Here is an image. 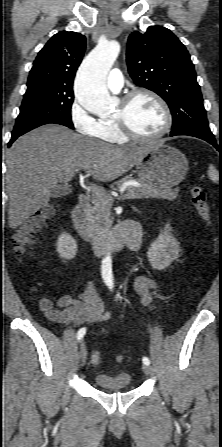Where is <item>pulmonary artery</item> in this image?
<instances>
[{
	"instance_id": "obj_1",
	"label": "pulmonary artery",
	"mask_w": 222,
	"mask_h": 447,
	"mask_svg": "<svg viewBox=\"0 0 222 447\" xmlns=\"http://www.w3.org/2000/svg\"><path fill=\"white\" fill-rule=\"evenodd\" d=\"M124 79L119 69H113L108 76L107 86L113 92H118L123 87Z\"/></svg>"
}]
</instances>
